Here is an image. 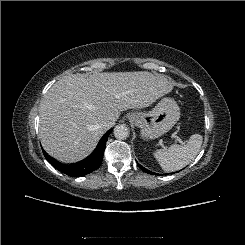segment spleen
<instances>
[{
  "instance_id": "3e777b00",
  "label": "spleen",
  "mask_w": 245,
  "mask_h": 245,
  "mask_svg": "<svg viewBox=\"0 0 245 245\" xmlns=\"http://www.w3.org/2000/svg\"><path fill=\"white\" fill-rule=\"evenodd\" d=\"M203 138L200 134L190 136L186 145H171L154 152V157L166 172L177 171L188 165L200 151Z\"/></svg>"
}]
</instances>
